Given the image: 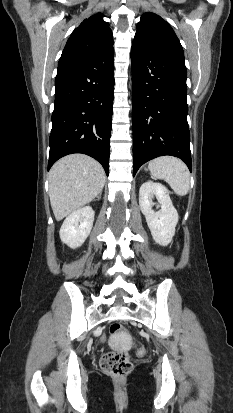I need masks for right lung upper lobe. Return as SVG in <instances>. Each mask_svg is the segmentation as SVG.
I'll list each match as a JSON object with an SVG mask.
<instances>
[{"label": "right lung upper lobe", "instance_id": "cb5924a9", "mask_svg": "<svg viewBox=\"0 0 233 413\" xmlns=\"http://www.w3.org/2000/svg\"><path fill=\"white\" fill-rule=\"evenodd\" d=\"M103 14L85 19L69 37L58 66L85 60L113 49V34Z\"/></svg>", "mask_w": 233, "mask_h": 413}]
</instances>
